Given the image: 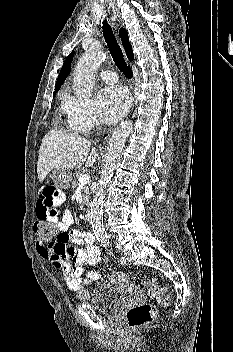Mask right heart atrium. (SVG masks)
Instances as JSON below:
<instances>
[{"label": "right heart atrium", "mask_w": 233, "mask_h": 352, "mask_svg": "<svg viewBox=\"0 0 233 352\" xmlns=\"http://www.w3.org/2000/svg\"><path fill=\"white\" fill-rule=\"evenodd\" d=\"M62 108L68 117L69 127L75 132H88L97 124L95 110L88 100L67 94Z\"/></svg>", "instance_id": "1"}]
</instances>
